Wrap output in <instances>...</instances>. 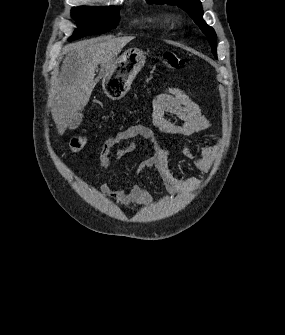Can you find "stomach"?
<instances>
[{
    "mask_svg": "<svg viewBox=\"0 0 285 335\" xmlns=\"http://www.w3.org/2000/svg\"><path fill=\"white\" fill-rule=\"evenodd\" d=\"M144 52L137 48L126 50L114 60L113 66L105 72L102 88L110 100H121L129 92L130 86L145 64Z\"/></svg>",
    "mask_w": 285,
    "mask_h": 335,
    "instance_id": "0dacf381",
    "label": "stomach"
}]
</instances>
